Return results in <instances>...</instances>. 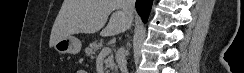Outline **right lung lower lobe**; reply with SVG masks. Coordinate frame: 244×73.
<instances>
[{
	"instance_id": "obj_1",
	"label": "right lung lower lobe",
	"mask_w": 244,
	"mask_h": 73,
	"mask_svg": "<svg viewBox=\"0 0 244 73\" xmlns=\"http://www.w3.org/2000/svg\"><path fill=\"white\" fill-rule=\"evenodd\" d=\"M153 0H136V10L143 22L147 21Z\"/></svg>"
}]
</instances>
